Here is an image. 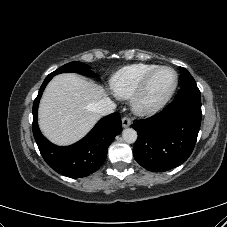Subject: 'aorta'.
<instances>
[{
    "instance_id": "aorta-1",
    "label": "aorta",
    "mask_w": 227,
    "mask_h": 227,
    "mask_svg": "<svg viewBox=\"0 0 227 227\" xmlns=\"http://www.w3.org/2000/svg\"><path fill=\"white\" fill-rule=\"evenodd\" d=\"M122 138L126 143H134L137 139V132L132 128H126L122 132Z\"/></svg>"
}]
</instances>
